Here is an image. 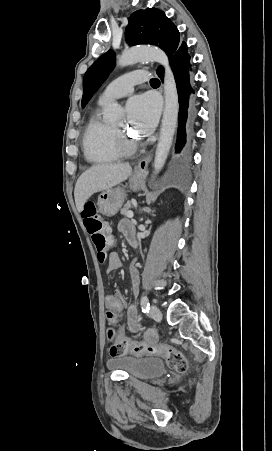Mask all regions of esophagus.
I'll list each match as a JSON object with an SVG mask.
<instances>
[{"instance_id": "esophagus-1", "label": "esophagus", "mask_w": 272, "mask_h": 451, "mask_svg": "<svg viewBox=\"0 0 272 451\" xmlns=\"http://www.w3.org/2000/svg\"><path fill=\"white\" fill-rule=\"evenodd\" d=\"M152 160L151 156H147L145 158H142L139 162L138 165L135 167V172H137V174L140 177H145L148 174V165L150 163V161Z\"/></svg>"}]
</instances>
